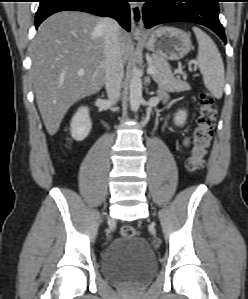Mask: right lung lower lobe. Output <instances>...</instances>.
Segmentation results:
<instances>
[{
  "label": "right lung lower lobe",
  "mask_w": 248,
  "mask_h": 299,
  "mask_svg": "<svg viewBox=\"0 0 248 299\" xmlns=\"http://www.w3.org/2000/svg\"><path fill=\"white\" fill-rule=\"evenodd\" d=\"M35 16V27L50 15L65 11H84L97 16H108L130 31V10L128 0H40Z\"/></svg>",
  "instance_id": "1"
}]
</instances>
